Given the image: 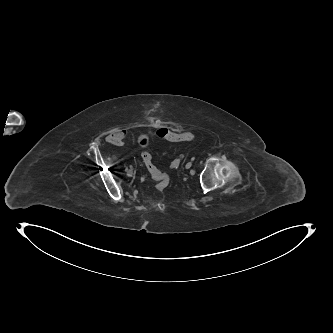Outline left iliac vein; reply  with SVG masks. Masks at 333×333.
Segmentation results:
<instances>
[{"instance_id": "4c4485c4", "label": "left iliac vein", "mask_w": 333, "mask_h": 333, "mask_svg": "<svg viewBox=\"0 0 333 333\" xmlns=\"http://www.w3.org/2000/svg\"><path fill=\"white\" fill-rule=\"evenodd\" d=\"M191 166H192V162H188L185 167H186V169H189Z\"/></svg>"}]
</instances>
